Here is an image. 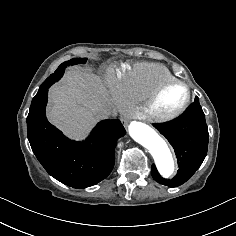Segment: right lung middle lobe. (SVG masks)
Here are the masks:
<instances>
[{
	"instance_id": "dd1d6c3e",
	"label": "right lung middle lobe",
	"mask_w": 236,
	"mask_h": 236,
	"mask_svg": "<svg viewBox=\"0 0 236 236\" xmlns=\"http://www.w3.org/2000/svg\"><path fill=\"white\" fill-rule=\"evenodd\" d=\"M86 58H74V59H71L69 61H65L64 63H62L58 68L57 70L51 74L43 83L42 85L40 86L39 88V91L48 83L50 84H53L55 83L56 81H58L63 73H64V70L67 66H70V65H76V64H80V63H85L86 62Z\"/></svg>"
}]
</instances>
